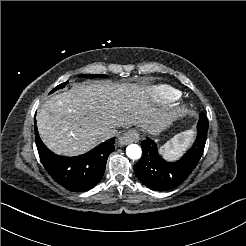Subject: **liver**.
Listing matches in <instances>:
<instances>
[{
	"label": "liver",
	"instance_id": "liver-1",
	"mask_svg": "<svg viewBox=\"0 0 246 246\" xmlns=\"http://www.w3.org/2000/svg\"><path fill=\"white\" fill-rule=\"evenodd\" d=\"M140 95L135 86L74 85L38 111L40 137L54 153L75 156L108 139L112 129L130 124L146 128L154 108Z\"/></svg>",
	"mask_w": 246,
	"mask_h": 246
}]
</instances>
